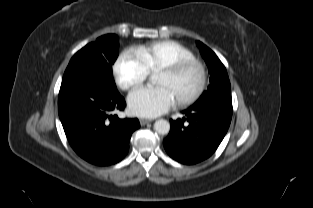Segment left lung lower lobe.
<instances>
[{
    "label": "left lung lower lobe",
    "instance_id": "obj_1",
    "mask_svg": "<svg viewBox=\"0 0 313 208\" xmlns=\"http://www.w3.org/2000/svg\"><path fill=\"white\" fill-rule=\"evenodd\" d=\"M232 112V100L195 103L183 111L186 119L170 120V133L163 141L165 150L183 164L207 159L227 133Z\"/></svg>",
    "mask_w": 313,
    "mask_h": 208
}]
</instances>
